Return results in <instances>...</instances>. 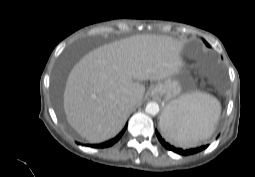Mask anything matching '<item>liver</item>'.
<instances>
[{
  "mask_svg": "<svg viewBox=\"0 0 255 177\" xmlns=\"http://www.w3.org/2000/svg\"><path fill=\"white\" fill-rule=\"evenodd\" d=\"M181 50L182 44L172 37L147 34L89 52L66 82L63 102L69 124L90 143L115 137L143 99L145 86L139 81L178 74L183 65Z\"/></svg>",
  "mask_w": 255,
  "mask_h": 177,
  "instance_id": "liver-1",
  "label": "liver"
}]
</instances>
